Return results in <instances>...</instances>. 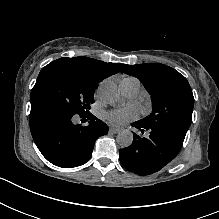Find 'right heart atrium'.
<instances>
[{
  "label": "right heart atrium",
  "instance_id": "obj_1",
  "mask_svg": "<svg viewBox=\"0 0 219 219\" xmlns=\"http://www.w3.org/2000/svg\"><path fill=\"white\" fill-rule=\"evenodd\" d=\"M99 95H100V87H98V88L95 90V92H94V97H95V98H98Z\"/></svg>",
  "mask_w": 219,
  "mask_h": 219
}]
</instances>
